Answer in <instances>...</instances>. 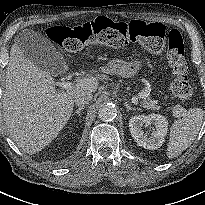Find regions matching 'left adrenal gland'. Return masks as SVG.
Returning a JSON list of instances; mask_svg holds the SVG:
<instances>
[{"label": "left adrenal gland", "mask_w": 205, "mask_h": 205, "mask_svg": "<svg viewBox=\"0 0 205 205\" xmlns=\"http://www.w3.org/2000/svg\"><path fill=\"white\" fill-rule=\"evenodd\" d=\"M124 106L126 107L127 111H130V110H135V111L138 110L139 111V110H141V109L136 108V107H131L130 104H128L127 101L124 103Z\"/></svg>", "instance_id": "left-adrenal-gland-1"}]
</instances>
